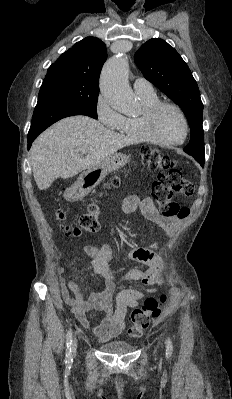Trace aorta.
<instances>
[{
  "label": "aorta",
  "mask_w": 232,
  "mask_h": 399,
  "mask_svg": "<svg viewBox=\"0 0 232 399\" xmlns=\"http://www.w3.org/2000/svg\"><path fill=\"white\" fill-rule=\"evenodd\" d=\"M129 65L126 56L110 58L100 76V90L117 111L129 112L137 107V98L128 82Z\"/></svg>",
  "instance_id": "aorta-1"
}]
</instances>
